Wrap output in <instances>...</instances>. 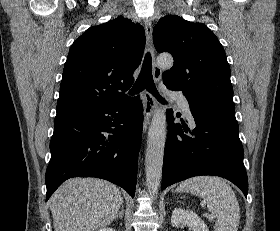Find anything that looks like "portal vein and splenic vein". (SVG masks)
I'll use <instances>...</instances> for the list:
<instances>
[{
  "instance_id": "portal-vein-and-splenic-vein-1",
  "label": "portal vein and splenic vein",
  "mask_w": 280,
  "mask_h": 231,
  "mask_svg": "<svg viewBox=\"0 0 280 231\" xmlns=\"http://www.w3.org/2000/svg\"><path fill=\"white\" fill-rule=\"evenodd\" d=\"M205 217H209V219H213V217H215V215H213V213H204Z\"/></svg>"
}]
</instances>
